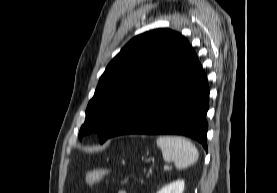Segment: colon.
<instances>
[{"mask_svg":"<svg viewBox=\"0 0 277 193\" xmlns=\"http://www.w3.org/2000/svg\"><path fill=\"white\" fill-rule=\"evenodd\" d=\"M109 175V171L105 169H93L89 170L85 174V181L88 184L99 182L105 179Z\"/></svg>","mask_w":277,"mask_h":193,"instance_id":"5ec220e1","label":"colon"}]
</instances>
